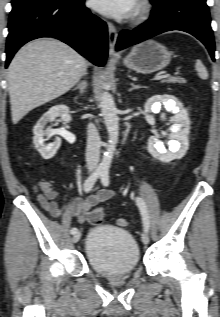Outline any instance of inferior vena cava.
I'll return each mask as SVG.
<instances>
[{
  "label": "inferior vena cava",
  "mask_w": 220,
  "mask_h": 317,
  "mask_svg": "<svg viewBox=\"0 0 220 317\" xmlns=\"http://www.w3.org/2000/svg\"><path fill=\"white\" fill-rule=\"evenodd\" d=\"M101 141L96 127L90 123L87 128L86 163L89 170L96 169L100 159Z\"/></svg>",
  "instance_id": "inferior-vena-cava-1"
}]
</instances>
